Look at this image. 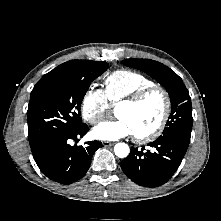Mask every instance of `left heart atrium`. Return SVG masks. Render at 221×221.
<instances>
[{"instance_id": "39dd6f15", "label": "left heart atrium", "mask_w": 221, "mask_h": 221, "mask_svg": "<svg viewBox=\"0 0 221 221\" xmlns=\"http://www.w3.org/2000/svg\"><path fill=\"white\" fill-rule=\"evenodd\" d=\"M92 135L103 141H116L133 135V130L127 121L118 117L116 120L106 121L96 126Z\"/></svg>"}]
</instances>
